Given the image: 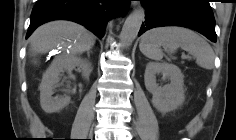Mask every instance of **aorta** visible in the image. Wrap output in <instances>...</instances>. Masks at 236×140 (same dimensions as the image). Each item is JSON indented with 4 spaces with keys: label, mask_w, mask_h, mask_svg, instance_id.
<instances>
[{
    "label": "aorta",
    "mask_w": 236,
    "mask_h": 140,
    "mask_svg": "<svg viewBox=\"0 0 236 140\" xmlns=\"http://www.w3.org/2000/svg\"><path fill=\"white\" fill-rule=\"evenodd\" d=\"M144 20L145 10L143 7H138L127 17L120 33L122 45L129 46L136 39Z\"/></svg>",
    "instance_id": "aorta-1"
}]
</instances>
